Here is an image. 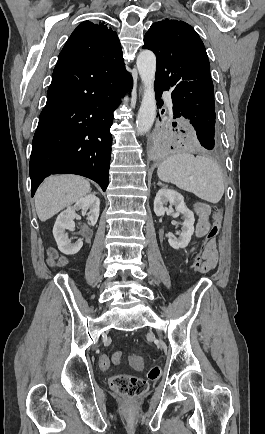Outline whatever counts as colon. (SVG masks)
Masks as SVG:
<instances>
[{"instance_id": "obj_1", "label": "colon", "mask_w": 265, "mask_h": 434, "mask_svg": "<svg viewBox=\"0 0 265 434\" xmlns=\"http://www.w3.org/2000/svg\"><path fill=\"white\" fill-rule=\"evenodd\" d=\"M223 218V212L221 209L217 208L212 215V227L209 232L206 234L204 242L202 244V250L195 256V259L192 263V269L196 271V269H200V261H203L204 252L203 249L207 246L206 242L209 239L214 240L215 237L219 234L221 222ZM51 264L56 262H60L57 259V255L54 251L50 252ZM113 362L119 363L122 359V355L120 353H115L112 357ZM99 366L101 369H108L110 367V361L106 356H101L99 359ZM162 376V369L158 366H152L147 371V378L149 380H157ZM111 387L125 395L135 396L141 395L148 391L149 385L148 380L134 374H117L114 375L110 379Z\"/></svg>"}]
</instances>
